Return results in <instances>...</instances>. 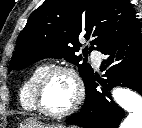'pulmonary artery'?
I'll use <instances>...</instances> for the list:
<instances>
[{
	"label": "pulmonary artery",
	"mask_w": 142,
	"mask_h": 128,
	"mask_svg": "<svg viewBox=\"0 0 142 128\" xmlns=\"http://www.w3.org/2000/svg\"><path fill=\"white\" fill-rule=\"evenodd\" d=\"M91 58H92L94 65L98 67L101 62V54L98 51L93 50L91 52Z\"/></svg>",
	"instance_id": "pulmonary-artery-1"
}]
</instances>
